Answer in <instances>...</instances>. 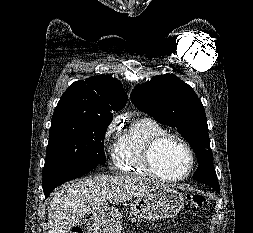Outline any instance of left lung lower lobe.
<instances>
[{"instance_id": "left-lung-lower-lobe-1", "label": "left lung lower lobe", "mask_w": 253, "mask_h": 233, "mask_svg": "<svg viewBox=\"0 0 253 233\" xmlns=\"http://www.w3.org/2000/svg\"><path fill=\"white\" fill-rule=\"evenodd\" d=\"M211 187L214 188L218 193L220 192L219 186H211Z\"/></svg>"}]
</instances>
